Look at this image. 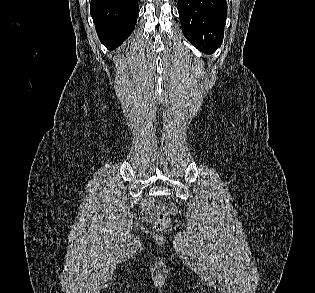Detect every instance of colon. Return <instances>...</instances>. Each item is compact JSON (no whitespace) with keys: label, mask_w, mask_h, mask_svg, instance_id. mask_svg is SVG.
<instances>
[{"label":"colon","mask_w":315,"mask_h":293,"mask_svg":"<svg viewBox=\"0 0 315 293\" xmlns=\"http://www.w3.org/2000/svg\"><path fill=\"white\" fill-rule=\"evenodd\" d=\"M143 209L146 212H150L153 209V205L150 201H147L143 205ZM165 206H161L160 211H158L153 219L154 227L158 230L165 229L170 224V219L165 213Z\"/></svg>","instance_id":"obj_1"}]
</instances>
